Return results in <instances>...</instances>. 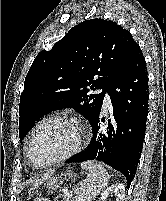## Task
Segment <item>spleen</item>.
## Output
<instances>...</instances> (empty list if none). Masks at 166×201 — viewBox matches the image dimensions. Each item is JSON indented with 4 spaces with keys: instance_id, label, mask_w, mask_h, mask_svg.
Masks as SVG:
<instances>
[{
    "instance_id": "spleen-1",
    "label": "spleen",
    "mask_w": 166,
    "mask_h": 201,
    "mask_svg": "<svg viewBox=\"0 0 166 201\" xmlns=\"http://www.w3.org/2000/svg\"><path fill=\"white\" fill-rule=\"evenodd\" d=\"M81 167L87 170L89 175L74 190L76 196L72 201H91L107 185L109 175L107 170L96 162H82Z\"/></svg>"
}]
</instances>
